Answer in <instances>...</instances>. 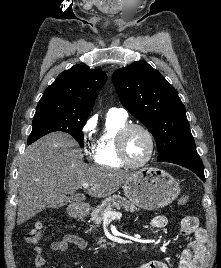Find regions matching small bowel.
<instances>
[{
	"instance_id": "c3829d8e",
	"label": "small bowel",
	"mask_w": 221,
	"mask_h": 268,
	"mask_svg": "<svg viewBox=\"0 0 221 268\" xmlns=\"http://www.w3.org/2000/svg\"><path fill=\"white\" fill-rule=\"evenodd\" d=\"M168 225V219L165 216H156L144 226L149 230L163 229ZM180 233L189 236L190 240L186 245L181 256L179 268H201L205 257V244L207 241L206 231L199 226L198 219L194 216H184L178 221ZM70 245H74L78 250H84L87 242L83 238L66 234L62 239L50 243V249L53 251H66ZM35 252L34 265L36 268H45L46 259L43 255L44 248L36 245L33 248ZM49 268H56L50 266ZM139 268H169L168 265L161 261H150L142 264Z\"/></svg>"
}]
</instances>
